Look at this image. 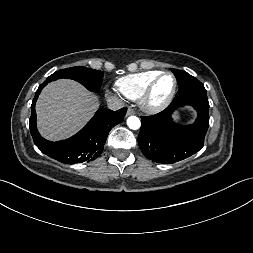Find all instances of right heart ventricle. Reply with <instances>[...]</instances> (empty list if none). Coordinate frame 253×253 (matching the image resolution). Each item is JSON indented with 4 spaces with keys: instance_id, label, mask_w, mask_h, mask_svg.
Listing matches in <instances>:
<instances>
[{
    "instance_id": "1",
    "label": "right heart ventricle",
    "mask_w": 253,
    "mask_h": 253,
    "mask_svg": "<svg viewBox=\"0 0 253 253\" xmlns=\"http://www.w3.org/2000/svg\"><path fill=\"white\" fill-rule=\"evenodd\" d=\"M159 73L160 71L153 70L129 74L119 78L116 81V87L126 98L137 100L140 98L149 82Z\"/></svg>"
}]
</instances>
